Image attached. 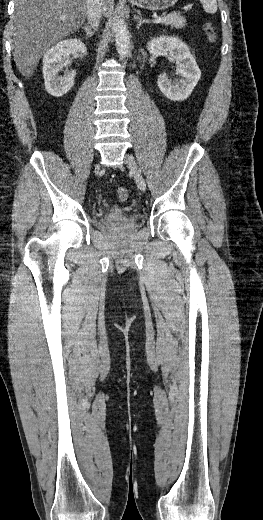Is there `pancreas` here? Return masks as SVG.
<instances>
[{
  "instance_id": "1",
  "label": "pancreas",
  "mask_w": 263,
  "mask_h": 520,
  "mask_svg": "<svg viewBox=\"0 0 263 520\" xmlns=\"http://www.w3.org/2000/svg\"><path fill=\"white\" fill-rule=\"evenodd\" d=\"M163 25L175 27L177 29H181L186 25V19L180 13H170L163 18L160 22Z\"/></svg>"
}]
</instances>
